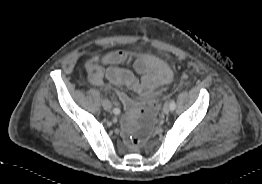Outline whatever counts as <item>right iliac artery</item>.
I'll return each mask as SVG.
<instances>
[{
	"instance_id": "obj_1",
	"label": "right iliac artery",
	"mask_w": 262,
	"mask_h": 184,
	"mask_svg": "<svg viewBox=\"0 0 262 184\" xmlns=\"http://www.w3.org/2000/svg\"><path fill=\"white\" fill-rule=\"evenodd\" d=\"M113 113L114 114H119L120 113V109L119 108H114L113 109Z\"/></svg>"
}]
</instances>
